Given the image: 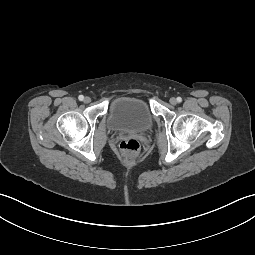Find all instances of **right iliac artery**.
<instances>
[{
	"label": "right iliac artery",
	"instance_id": "obj_1",
	"mask_svg": "<svg viewBox=\"0 0 255 255\" xmlns=\"http://www.w3.org/2000/svg\"><path fill=\"white\" fill-rule=\"evenodd\" d=\"M78 99H79L80 101H83V100H84V96H83V95H79Z\"/></svg>",
	"mask_w": 255,
	"mask_h": 255
}]
</instances>
